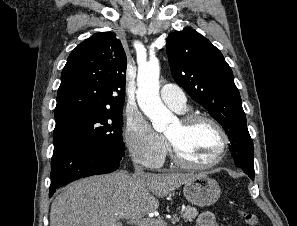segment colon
<instances>
[{"label": "colon", "instance_id": "5ec220e1", "mask_svg": "<svg viewBox=\"0 0 297 226\" xmlns=\"http://www.w3.org/2000/svg\"><path fill=\"white\" fill-rule=\"evenodd\" d=\"M242 218L245 223L249 226H256L258 223V218L255 214L252 213H242Z\"/></svg>", "mask_w": 297, "mask_h": 226}]
</instances>
